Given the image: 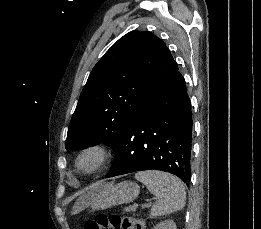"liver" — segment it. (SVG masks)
<instances>
[{"label": "liver", "instance_id": "1", "mask_svg": "<svg viewBox=\"0 0 261 229\" xmlns=\"http://www.w3.org/2000/svg\"><path fill=\"white\" fill-rule=\"evenodd\" d=\"M82 201H84L85 203V199H86V195H83V197H81Z\"/></svg>", "mask_w": 261, "mask_h": 229}]
</instances>
